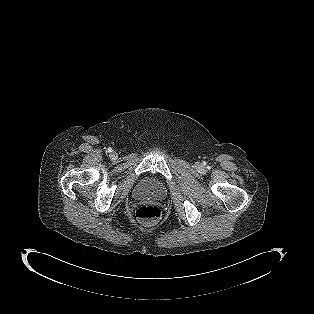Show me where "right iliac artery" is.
Returning a JSON list of instances; mask_svg holds the SVG:
<instances>
[{
  "mask_svg": "<svg viewBox=\"0 0 314 314\" xmlns=\"http://www.w3.org/2000/svg\"><path fill=\"white\" fill-rule=\"evenodd\" d=\"M107 152H109V153L112 152V149H111V148H108V149H107Z\"/></svg>",
  "mask_w": 314,
  "mask_h": 314,
  "instance_id": "obj_1",
  "label": "right iliac artery"
}]
</instances>
